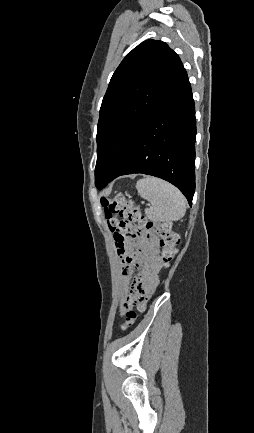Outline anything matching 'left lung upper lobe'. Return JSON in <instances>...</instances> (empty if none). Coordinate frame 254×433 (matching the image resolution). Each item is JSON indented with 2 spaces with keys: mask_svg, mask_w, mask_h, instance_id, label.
Segmentation results:
<instances>
[{
  "mask_svg": "<svg viewBox=\"0 0 254 433\" xmlns=\"http://www.w3.org/2000/svg\"><path fill=\"white\" fill-rule=\"evenodd\" d=\"M162 41L135 47L114 72L100 108L95 184L105 182L127 156L140 129L182 70Z\"/></svg>",
  "mask_w": 254,
  "mask_h": 433,
  "instance_id": "left-lung-upper-lobe-1",
  "label": "left lung upper lobe"
}]
</instances>
